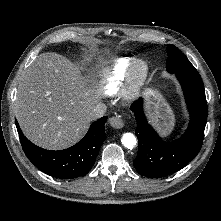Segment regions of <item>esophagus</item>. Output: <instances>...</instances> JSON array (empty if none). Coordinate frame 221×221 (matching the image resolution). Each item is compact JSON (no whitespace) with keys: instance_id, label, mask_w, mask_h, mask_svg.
I'll use <instances>...</instances> for the list:
<instances>
[{"instance_id":"obj_1","label":"esophagus","mask_w":221,"mask_h":221,"mask_svg":"<svg viewBox=\"0 0 221 221\" xmlns=\"http://www.w3.org/2000/svg\"><path fill=\"white\" fill-rule=\"evenodd\" d=\"M109 122H110V125L115 129H120L124 125V122H123L121 116H114V117L110 118Z\"/></svg>"}]
</instances>
